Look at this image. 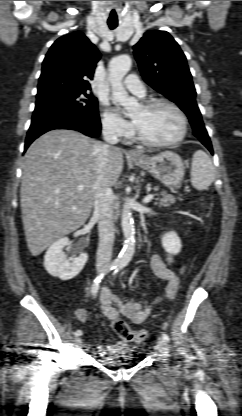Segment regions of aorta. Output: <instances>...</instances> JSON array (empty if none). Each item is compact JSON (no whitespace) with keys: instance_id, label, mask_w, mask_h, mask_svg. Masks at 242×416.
<instances>
[{"instance_id":"obj_1","label":"aorta","mask_w":242,"mask_h":416,"mask_svg":"<svg viewBox=\"0 0 242 416\" xmlns=\"http://www.w3.org/2000/svg\"><path fill=\"white\" fill-rule=\"evenodd\" d=\"M131 58L121 55L113 58L109 63V80L112 88L113 99L120 103L127 111H131L136 101L131 98L122 84L123 77L131 68ZM121 227L124 235V246L115 260L117 266H126L135 252V227L132 213L126 204L122 210Z\"/></svg>"}]
</instances>
